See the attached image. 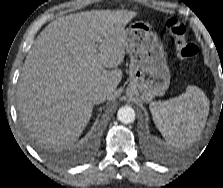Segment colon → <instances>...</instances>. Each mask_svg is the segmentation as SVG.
<instances>
[{"label":"colon","instance_id":"5ec220e1","mask_svg":"<svg viewBox=\"0 0 223 188\" xmlns=\"http://www.w3.org/2000/svg\"><path fill=\"white\" fill-rule=\"evenodd\" d=\"M165 28L171 34L180 59L188 61L194 59L199 52L196 45L191 44L186 38V28L176 18H169L165 21Z\"/></svg>","mask_w":223,"mask_h":188}]
</instances>
